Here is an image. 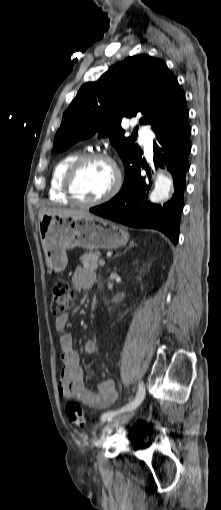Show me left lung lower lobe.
Wrapping results in <instances>:
<instances>
[{
	"label": "left lung lower lobe",
	"instance_id": "left-lung-lower-lobe-1",
	"mask_svg": "<svg viewBox=\"0 0 221 510\" xmlns=\"http://www.w3.org/2000/svg\"><path fill=\"white\" fill-rule=\"evenodd\" d=\"M155 134L154 166L167 168L172 174L174 194L171 200L164 205H155L145 198L151 187V176L150 169L140 160L125 177L120 192L109 202L91 208L90 212L130 227L157 229L176 244L186 172L189 169L188 155L191 150L188 117L158 130ZM141 168L147 170V177L141 176Z\"/></svg>",
	"mask_w": 221,
	"mask_h": 510
}]
</instances>
